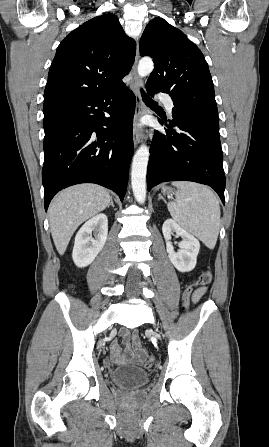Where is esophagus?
<instances>
[{"label": "esophagus", "mask_w": 269, "mask_h": 447, "mask_svg": "<svg viewBox=\"0 0 269 447\" xmlns=\"http://www.w3.org/2000/svg\"><path fill=\"white\" fill-rule=\"evenodd\" d=\"M139 60V45L137 42L136 47V56L135 61L131 70V82H130V89L132 92H134L135 99H136V108H135V114H134V120H133V141L134 146L137 147V145L140 143L142 139V132L139 130V120L144 114V104L142 102L141 94H140V87L141 82L139 79V76L137 74V65Z\"/></svg>", "instance_id": "34e87169"}]
</instances>
